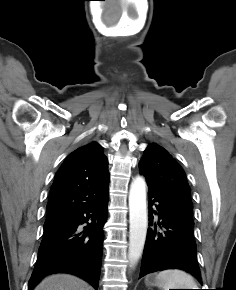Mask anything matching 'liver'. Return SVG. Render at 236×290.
<instances>
[{"mask_svg": "<svg viewBox=\"0 0 236 290\" xmlns=\"http://www.w3.org/2000/svg\"><path fill=\"white\" fill-rule=\"evenodd\" d=\"M34 290H92L85 281L69 275L54 274L44 278Z\"/></svg>", "mask_w": 236, "mask_h": 290, "instance_id": "6515ba94", "label": "liver"}]
</instances>
